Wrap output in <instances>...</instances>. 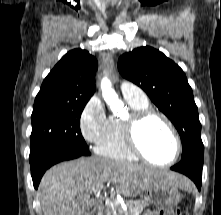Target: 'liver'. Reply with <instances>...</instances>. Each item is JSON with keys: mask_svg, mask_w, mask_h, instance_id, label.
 Here are the masks:
<instances>
[{"mask_svg": "<svg viewBox=\"0 0 221 215\" xmlns=\"http://www.w3.org/2000/svg\"><path fill=\"white\" fill-rule=\"evenodd\" d=\"M115 183L117 193L137 196L155 183L189 187L184 176L136 164L89 157L64 162L50 168L43 176L38 196L43 215H87L90 194L104 183Z\"/></svg>", "mask_w": 221, "mask_h": 215, "instance_id": "obj_1", "label": "liver"}]
</instances>
